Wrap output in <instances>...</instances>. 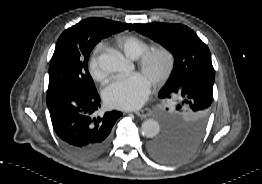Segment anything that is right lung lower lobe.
<instances>
[{
  "label": "right lung lower lobe",
  "instance_id": "1",
  "mask_svg": "<svg viewBox=\"0 0 262 184\" xmlns=\"http://www.w3.org/2000/svg\"><path fill=\"white\" fill-rule=\"evenodd\" d=\"M47 105L53 128L61 143L79 156L94 157L103 152L109 134L120 112H107L94 117L100 108V97L95 92L74 88L51 87Z\"/></svg>",
  "mask_w": 262,
  "mask_h": 184
}]
</instances>
